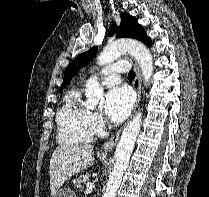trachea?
<instances>
[{
    "instance_id": "obj_1",
    "label": "trachea",
    "mask_w": 209,
    "mask_h": 197,
    "mask_svg": "<svg viewBox=\"0 0 209 197\" xmlns=\"http://www.w3.org/2000/svg\"><path fill=\"white\" fill-rule=\"evenodd\" d=\"M128 77L130 78V79H134L135 78V73H134V71H129V73H128Z\"/></svg>"
}]
</instances>
